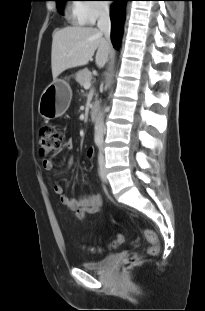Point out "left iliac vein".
Returning a JSON list of instances; mask_svg holds the SVG:
<instances>
[{"instance_id":"4c4485c4","label":"left iliac vein","mask_w":205,"mask_h":311,"mask_svg":"<svg viewBox=\"0 0 205 311\" xmlns=\"http://www.w3.org/2000/svg\"><path fill=\"white\" fill-rule=\"evenodd\" d=\"M98 163H99L100 177L104 182H106L107 178H106V169H105V156H104V151L102 148L100 149V152H99Z\"/></svg>"}]
</instances>
